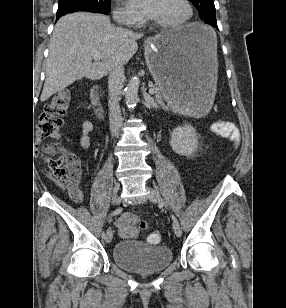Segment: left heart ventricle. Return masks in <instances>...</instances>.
<instances>
[{"instance_id": "b2bd125f", "label": "left heart ventricle", "mask_w": 286, "mask_h": 308, "mask_svg": "<svg viewBox=\"0 0 286 308\" xmlns=\"http://www.w3.org/2000/svg\"><path fill=\"white\" fill-rule=\"evenodd\" d=\"M187 14L186 7L181 0H158L152 19L158 22H177Z\"/></svg>"}]
</instances>
